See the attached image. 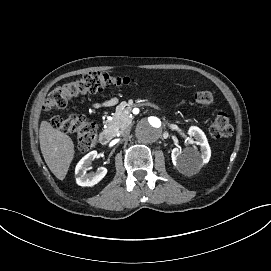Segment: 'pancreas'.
<instances>
[{"label": "pancreas", "instance_id": "cf45deb5", "mask_svg": "<svg viewBox=\"0 0 271 271\" xmlns=\"http://www.w3.org/2000/svg\"><path fill=\"white\" fill-rule=\"evenodd\" d=\"M120 106L116 109V116L112 120H106L105 125L107 128H111L117 133L120 129L126 128L131 123L130 110L128 108H122Z\"/></svg>", "mask_w": 271, "mask_h": 271}]
</instances>
